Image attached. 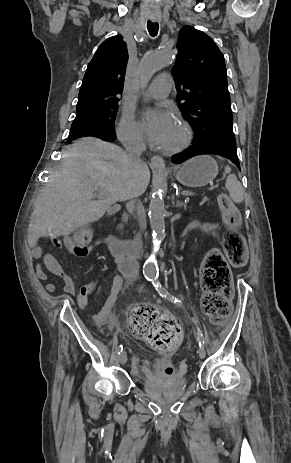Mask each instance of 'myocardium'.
<instances>
[{
	"label": "myocardium",
	"mask_w": 291,
	"mask_h": 463,
	"mask_svg": "<svg viewBox=\"0 0 291 463\" xmlns=\"http://www.w3.org/2000/svg\"><path fill=\"white\" fill-rule=\"evenodd\" d=\"M177 125L180 129V138L177 143L170 147H165L163 152L166 154H175L184 150L192 140V129L188 123L183 120H178Z\"/></svg>",
	"instance_id": "myocardium-1"
}]
</instances>
